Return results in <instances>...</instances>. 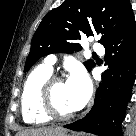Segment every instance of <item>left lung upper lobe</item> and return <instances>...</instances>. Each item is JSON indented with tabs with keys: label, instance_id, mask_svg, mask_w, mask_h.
<instances>
[{
	"label": "left lung upper lobe",
	"instance_id": "left-lung-upper-lobe-1",
	"mask_svg": "<svg viewBox=\"0 0 136 136\" xmlns=\"http://www.w3.org/2000/svg\"><path fill=\"white\" fill-rule=\"evenodd\" d=\"M132 10L129 0H65L45 15L37 28L24 71L42 56L81 49L78 40L99 35L103 44ZM90 71L95 63H84Z\"/></svg>",
	"mask_w": 136,
	"mask_h": 136
}]
</instances>
